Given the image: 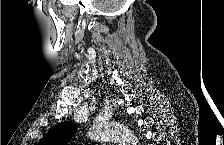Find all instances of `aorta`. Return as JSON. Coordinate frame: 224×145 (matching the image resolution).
Returning <instances> with one entry per match:
<instances>
[{
	"label": "aorta",
	"instance_id": "1",
	"mask_svg": "<svg viewBox=\"0 0 224 145\" xmlns=\"http://www.w3.org/2000/svg\"><path fill=\"white\" fill-rule=\"evenodd\" d=\"M91 139L96 141H112L119 145H137L138 139L125 125L118 122L94 124L88 132Z\"/></svg>",
	"mask_w": 224,
	"mask_h": 145
}]
</instances>
